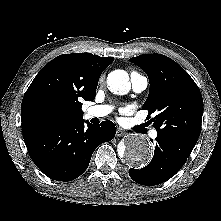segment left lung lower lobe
<instances>
[{
    "mask_svg": "<svg viewBox=\"0 0 221 221\" xmlns=\"http://www.w3.org/2000/svg\"><path fill=\"white\" fill-rule=\"evenodd\" d=\"M194 146L174 137L157 135L156 149L151 162L140 170L129 169V175L141 185L161 184L181 169Z\"/></svg>",
    "mask_w": 221,
    "mask_h": 221,
    "instance_id": "0a47b994",
    "label": "left lung lower lobe"
}]
</instances>
